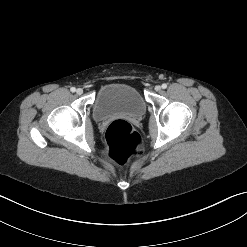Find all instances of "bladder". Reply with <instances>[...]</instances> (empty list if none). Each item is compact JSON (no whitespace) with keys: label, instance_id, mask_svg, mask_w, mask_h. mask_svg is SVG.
<instances>
[{"label":"bladder","instance_id":"obj_1","mask_svg":"<svg viewBox=\"0 0 247 247\" xmlns=\"http://www.w3.org/2000/svg\"><path fill=\"white\" fill-rule=\"evenodd\" d=\"M145 110L146 103L134 86L111 83L102 86L98 91L93 115L97 121H102L115 115L139 117Z\"/></svg>","mask_w":247,"mask_h":247}]
</instances>
